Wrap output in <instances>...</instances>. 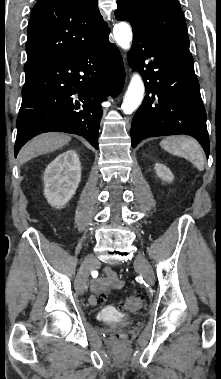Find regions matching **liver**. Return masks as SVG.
Instances as JSON below:
<instances>
[{
    "label": "liver",
    "mask_w": 221,
    "mask_h": 379,
    "mask_svg": "<svg viewBox=\"0 0 221 379\" xmlns=\"http://www.w3.org/2000/svg\"><path fill=\"white\" fill-rule=\"evenodd\" d=\"M71 140V137L63 133L40 134L30 140L19 152L18 158L21 164L32 158L55 151Z\"/></svg>",
    "instance_id": "obj_1"
}]
</instances>
